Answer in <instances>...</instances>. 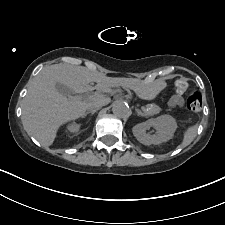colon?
<instances>
[{
	"mask_svg": "<svg viewBox=\"0 0 225 225\" xmlns=\"http://www.w3.org/2000/svg\"><path fill=\"white\" fill-rule=\"evenodd\" d=\"M190 87L189 82L185 78H178L174 82V90L182 94L186 92ZM188 109L191 112L199 113L203 107V98L198 91H193L187 101Z\"/></svg>",
	"mask_w": 225,
	"mask_h": 225,
	"instance_id": "1",
	"label": "colon"
}]
</instances>
